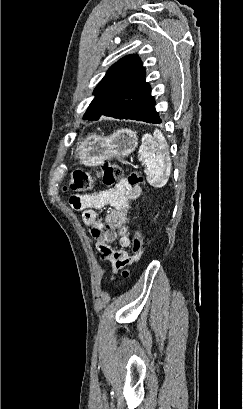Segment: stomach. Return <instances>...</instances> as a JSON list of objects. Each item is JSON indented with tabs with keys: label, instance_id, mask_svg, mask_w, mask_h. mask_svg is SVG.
<instances>
[{
	"label": "stomach",
	"instance_id": "obj_1",
	"mask_svg": "<svg viewBox=\"0 0 243 409\" xmlns=\"http://www.w3.org/2000/svg\"><path fill=\"white\" fill-rule=\"evenodd\" d=\"M138 145L136 132L118 129L110 136L90 135L76 149L81 164L96 166L112 158L121 159L131 154Z\"/></svg>",
	"mask_w": 243,
	"mask_h": 409
}]
</instances>
